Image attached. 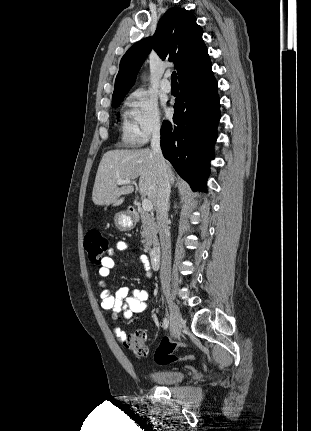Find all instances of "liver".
Masks as SVG:
<instances>
[{
    "instance_id": "1",
    "label": "liver",
    "mask_w": 311,
    "mask_h": 431,
    "mask_svg": "<svg viewBox=\"0 0 311 431\" xmlns=\"http://www.w3.org/2000/svg\"><path fill=\"white\" fill-rule=\"evenodd\" d=\"M169 184L174 186L175 174L166 162ZM139 194L147 196L156 208L158 190V164L152 150H110L104 154L97 170L92 202L95 206H121L134 186H118L117 180H137Z\"/></svg>"
}]
</instances>
